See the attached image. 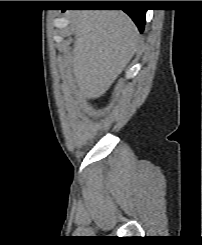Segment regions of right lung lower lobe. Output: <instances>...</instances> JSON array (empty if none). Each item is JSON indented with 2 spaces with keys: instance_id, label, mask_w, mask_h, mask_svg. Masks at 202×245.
I'll use <instances>...</instances> for the list:
<instances>
[{
  "instance_id": "obj_1",
  "label": "right lung lower lobe",
  "mask_w": 202,
  "mask_h": 245,
  "mask_svg": "<svg viewBox=\"0 0 202 245\" xmlns=\"http://www.w3.org/2000/svg\"><path fill=\"white\" fill-rule=\"evenodd\" d=\"M123 11L126 12L132 18V20L138 26L139 30L142 32L144 30V25H145L146 10H143V9H125Z\"/></svg>"
}]
</instances>
